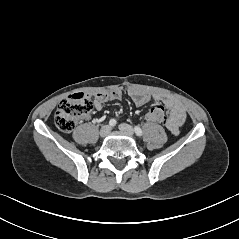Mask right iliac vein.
Segmentation results:
<instances>
[{"mask_svg":"<svg viewBox=\"0 0 239 239\" xmlns=\"http://www.w3.org/2000/svg\"><path fill=\"white\" fill-rule=\"evenodd\" d=\"M111 131V127L109 125H105L100 130V136L106 137Z\"/></svg>","mask_w":239,"mask_h":239,"instance_id":"63e3f726","label":"right iliac vein"}]
</instances>
